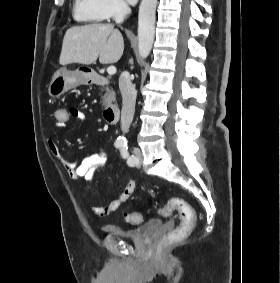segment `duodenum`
Wrapping results in <instances>:
<instances>
[{
	"label": "duodenum",
	"mask_w": 280,
	"mask_h": 283,
	"mask_svg": "<svg viewBox=\"0 0 280 283\" xmlns=\"http://www.w3.org/2000/svg\"><path fill=\"white\" fill-rule=\"evenodd\" d=\"M86 83L107 86L109 84L108 80L99 74L90 73L83 77ZM103 116L107 123L115 124L119 119V107L115 101L110 102L103 110Z\"/></svg>",
	"instance_id": "410a0bca"
}]
</instances>
